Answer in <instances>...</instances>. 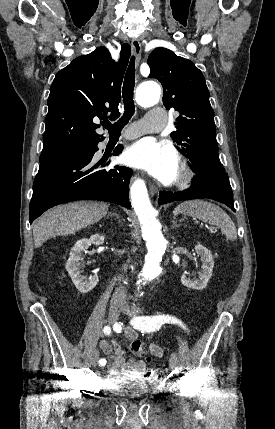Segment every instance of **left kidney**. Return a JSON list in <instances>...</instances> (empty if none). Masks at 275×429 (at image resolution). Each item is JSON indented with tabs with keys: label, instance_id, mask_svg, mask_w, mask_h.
<instances>
[{
	"label": "left kidney",
	"instance_id": "obj_1",
	"mask_svg": "<svg viewBox=\"0 0 275 429\" xmlns=\"http://www.w3.org/2000/svg\"><path fill=\"white\" fill-rule=\"evenodd\" d=\"M195 250L201 256L202 261L199 279H190L186 275H182L181 282L188 288L203 290L212 276L214 261L211 252L201 244L196 245Z\"/></svg>",
	"mask_w": 275,
	"mask_h": 429
}]
</instances>
